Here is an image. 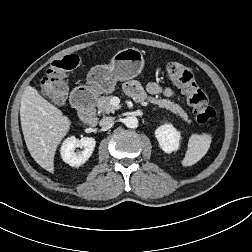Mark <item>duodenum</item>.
Returning a JSON list of instances; mask_svg holds the SVG:
<instances>
[{
  "instance_id": "410a0bca",
  "label": "duodenum",
  "mask_w": 252,
  "mask_h": 252,
  "mask_svg": "<svg viewBox=\"0 0 252 252\" xmlns=\"http://www.w3.org/2000/svg\"><path fill=\"white\" fill-rule=\"evenodd\" d=\"M93 101H94L93 93L88 88L76 90L71 95L72 105L79 110L80 122L83 125L91 127L97 124V118L92 108Z\"/></svg>"
}]
</instances>
